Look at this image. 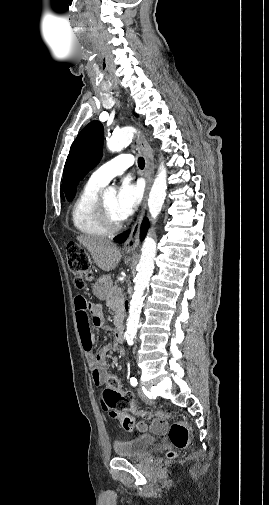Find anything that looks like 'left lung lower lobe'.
I'll use <instances>...</instances> for the list:
<instances>
[{"instance_id": "obj_1", "label": "left lung lower lobe", "mask_w": 269, "mask_h": 505, "mask_svg": "<svg viewBox=\"0 0 269 505\" xmlns=\"http://www.w3.org/2000/svg\"><path fill=\"white\" fill-rule=\"evenodd\" d=\"M148 225H149L148 220L144 219V221L142 223V226H141V239H144V237L146 235V232L148 230ZM128 234H129V231L121 234L120 236H118L115 239V241L118 242V243H123L126 240Z\"/></svg>"}]
</instances>
